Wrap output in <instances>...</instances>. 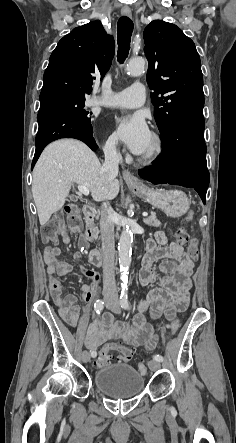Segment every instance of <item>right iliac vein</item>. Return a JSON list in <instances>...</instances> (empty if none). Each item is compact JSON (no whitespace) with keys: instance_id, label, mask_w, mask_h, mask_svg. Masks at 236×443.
Wrapping results in <instances>:
<instances>
[{"instance_id":"obj_1","label":"right iliac vein","mask_w":236,"mask_h":443,"mask_svg":"<svg viewBox=\"0 0 236 443\" xmlns=\"http://www.w3.org/2000/svg\"><path fill=\"white\" fill-rule=\"evenodd\" d=\"M112 306H113L112 304H105V307H106L107 309H110ZM80 356H81V360H82L84 363H87V362L90 361V354H89V352H88L87 350L82 351L81 354H80Z\"/></svg>"}]
</instances>
